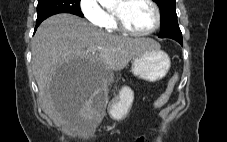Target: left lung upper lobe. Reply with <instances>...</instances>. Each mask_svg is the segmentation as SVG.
<instances>
[{
	"label": "left lung upper lobe",
	"mask_w": 227,
	"mask_h": 142,
	"mask_svg": "<svg viewBox=\"0 0 227 142\" xmlns=\"http://www.w3.org/2000/svg\"><path fill=\"white\" fill-rule=\"evenodd\" d=\"M160 8V38L182 40V33L177 22L175 0H155Z\"/></svg>",
	"instance_id": "obj_1"
}]
</instances>
